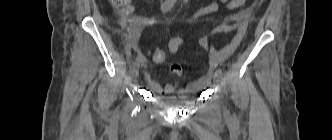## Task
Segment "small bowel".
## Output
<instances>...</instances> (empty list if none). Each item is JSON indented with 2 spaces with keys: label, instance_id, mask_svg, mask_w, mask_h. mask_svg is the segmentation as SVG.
I'll return each instance as SVG.
<instances>
[{
  "label": "small bowel",
  "instance_id": "1",
  "mask_svg": "<svg viewBox=\"0 0 332 140\" xmlns=\"http://www.w3.org/2000/svg\"><path fill=\"white\" fill-rule=\"evenodd\" d=\"M246 0H213L209 5L196 10L193 15L194 17H199L204 14L213 13L218 10L219 5H223L227 9H236L242 6ZM252 8H249L242 12L241 22L238 24L236 34L232 41L222 48L221 50H216L212 44L211 40L207 36H203L199 39V45L208 51V62H207V73L203 75L198 80L191 82L185 88L178 89V83H167L164 86L160 85L157 81L153 80L150 73L147 70V64L143 63L144 68V80L147 87L154 93L162 97H169L174 93L177 94L179 98H186L190 95L205 88L211 81L214 70L218 65L227 60L240 45L248 27V19L251 16ZM184 39L181 36L174 37L169 42V51L172 54L179 52ZM171 71L174 74L179 75L181 68L179 65L174 64L171 66Z\"/></svg>",
  "mask_w": 332,
  "mask_h": 140
}]
</instances>
